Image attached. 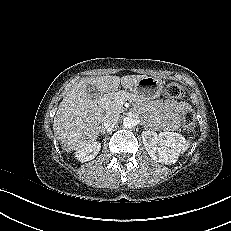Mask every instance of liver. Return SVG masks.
<instances>
[{"mask_svg": "<svg viewBox=\"0 0 231 231\" xmlns=\"http://www.w3.org/2000/svg\"><path fill=\"white\" fill-rule=\"evenodd\" d=\"M146 75L84 78L75 84L60 102L53 121L57 140L67 151L83 148L96 141L102 128V115L96 101L87 92L88 85H95L100 93H114L121 84L130 88Z\"/></svg>", "mask_w": 231, "mask_h": 231, "instance_id": "liver-1", "label": "liver"}]
</instances>
